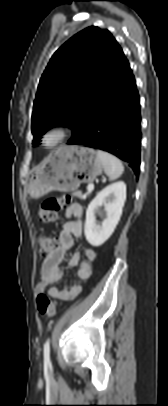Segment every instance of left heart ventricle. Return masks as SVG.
Wrapping results in <instances>:
<instances>
[{
  "label": "left heart ventricle",
  "instance_id": "obj_1",
  "mask_svg": "<svg viewBox=\"0 0 168 406\" xmlns=\"http://www.w3.org/2000/svg\"><path fill=\"white\" fill-rule=\"evenodd\" d=\"M53 139H54L53 137H49L47 141H48V142H52Z\"/></svg>",
  "mask_w": 168,
  "mask_h": 406
}]
</instances>
